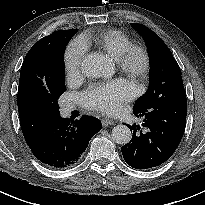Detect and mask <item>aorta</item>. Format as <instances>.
I'll return each instance as SVG.
<instances>
[{"label":"aorta","instance_id":"aorta-1","mask_svg":"<svg viewBox=\"0 0 205 205\" xmlns=\"http://www.w3.org/2000/svg\"><path fill=\"white\" fill-rule=\"evenodd\" d=\"M81 70L89 78H99L110 73L107 59L98 53L88 54L82 60ZM111 136L115 143L124 145L131 140L132 134L126 125L120 124L112 129Z\"/></svg>","mask_w":205,"mask_h":205}]
</instances>
